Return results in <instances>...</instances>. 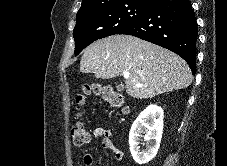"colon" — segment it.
<instances>
[{
  "mask_svg": "<svg viewBox=\"0 0 227 166\" xmlns=\"http://www.w3.org/2000/svg\"><path fill=\"white\" fill-rule=\"evenodd\" d=\"M97 95L101 97L109 106L124 111L126 109L124 96L109 86L100 84L87 85L82 93L76 97V104L83 106L86 103V96ZM71 137L74 145H86L91 140L89 130L82 122L75 123L71 128Z\"/></svg>",
  "mask_w": 227,
  "mask_h": 166,
  "instance_id": "1",
  "label": "colon"
}]
</instances>
